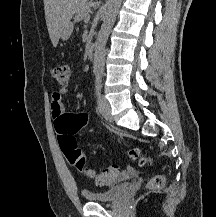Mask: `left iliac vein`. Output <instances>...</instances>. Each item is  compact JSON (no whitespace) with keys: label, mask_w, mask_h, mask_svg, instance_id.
Returning <instances> with one entry per match:
<instances>
[{"label":"left iliac vein","mask_w":216,"mask_h":217,"mask_svg":"<svg viewBox=\"0 0 216 217\" xmlns=\"http://www.w3.org/2000/svg\"><path fill=\"white\" fill-rule=\"evenodd\" d=\"M98 109L100 114L109 122H112L111 106L108 100L103 96L98 97Z\"/></svg>","instance_id":"left-iliac-vein-1"}]
</instances>
